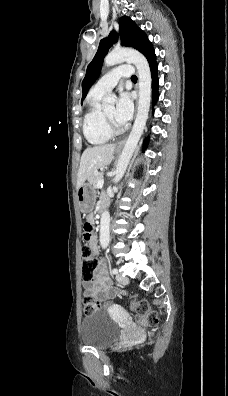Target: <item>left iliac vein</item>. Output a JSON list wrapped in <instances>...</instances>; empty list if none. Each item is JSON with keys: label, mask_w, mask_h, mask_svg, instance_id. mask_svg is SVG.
Listing matches in <instances>:
<instances>
[{"label": "left iliac vein", "mask_w": 228, "mask_h": 396, "mask_svg": "<svg viewBox=\"0 0 228 396\" xmlns=\"http://www.w3.org/2000/svg\"><path fill=\"white\" fill-rule=\"evenodd\" d=\"M116 280H117V282H118L119 284H122V285H125V284H127V283L129 282V280H128L127 277L122 276V275H120V274H118V275L116 276Z\"/></svg>", "instance_id": "1"}]
</instances>
